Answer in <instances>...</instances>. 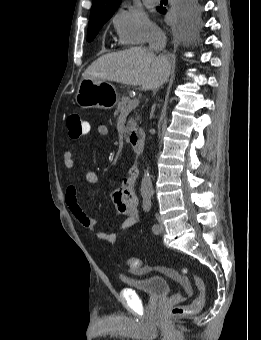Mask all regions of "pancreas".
Masks as SVG:
<instances>
[{"mask_svg":"<svg viewBox=\"0 0 261 340\" xmlns=\"http://www.w3.org/2000/svg\"><path fill=\"white\" fill-rule=\"evenodd\" d=\"M130 98L129 97H122L121 100L118 102L117 104V108H116V114L118 113H129L131 110H129L128 108V104L130 102ZM137 126V123L134 119H130L126 128H125V131L126 132H129L131 131L132 129H134L135 127Z\"/></svg>","mask_w":261,"mask_h":340,"instance_id":"pancreas-1","label":"pancreas"}]
</instances>
